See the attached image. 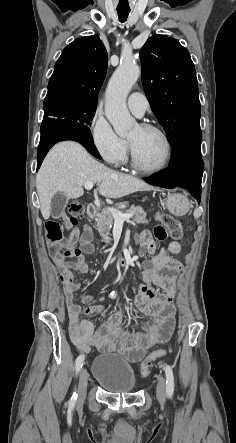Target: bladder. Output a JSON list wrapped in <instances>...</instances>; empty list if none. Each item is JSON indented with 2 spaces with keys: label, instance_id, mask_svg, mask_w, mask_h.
Segmentation results:
<instances>
[{
  "label": "bladder",
  "instance_id": "obj_1",
  "mask_svg": "<svg viewBox=\"0 0 236 443\" xmlns=\"http://www.w3.org/2000/svg\"><path fill=\"white\" fill-rule=\"evenodd\" d=\"M95 380L110 393H131L137 385L134 370L123 358L99 356L93 366Z\"/></svg>",
  "mask_w": 236,
  "mask_h": 443
}]
</instances>
